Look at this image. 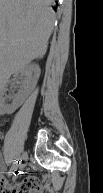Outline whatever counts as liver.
Returning a JSON list of instances; mask_svg holds the SVG:
<instances>
[{
	"label": "liver",
	"mask_w": 103,
	"mask_h": 193,
	"mask_svg": "<svg viewBox=\"0 0 103 193\" xmlns=\"http://www.w3.org/2000/svg\"><path fill=\"white\" fill-rule=\"evenodd\" d=\"M52 0H0V79L9 77L48 47L55 16Z\"/></svg>",
	"instance_id": "liver-1"
}]
</instances>
